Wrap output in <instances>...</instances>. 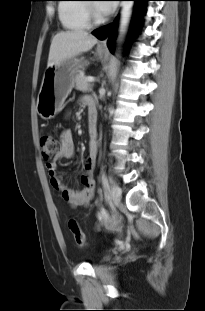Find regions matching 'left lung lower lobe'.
Here are the masks:
<instances>
[{
	"label": "left lung lower lobe",
	"instance_id": "obj_1",
	"mask_svg": "<svg viewBox=\"0 0 205 311\" xmlns=\"http://www.w3.org/2000/svg\"><path fill=\"white\" fill-rule=\"evenodd\" d=\"M132 1H136L137 3H141V2H144V1H149V0H132ZM142 6L140 4H137L136 5V12H137V15H141L142 14V10H141ZM138 23V19L135 20V24ZM106 25L104 27H101V28H98L96 30L93 31V34L98 37L99 39H104L107 35H108V32L110 30V37H109V41H108V47L110 49V51L112 52V46H113V42H114V35H115V29H116V23H114L112 25Z\"/></svg>",
	"mask_w": 205,
	"mask_h": 311
}]
</instances>
